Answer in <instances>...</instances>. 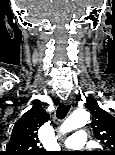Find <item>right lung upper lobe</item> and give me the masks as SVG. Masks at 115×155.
<instances>
[{"label": "right lung upper lobe", "instance_id": "right-lung-upper-lobe-1", "mask_svg": "<svg viewBox=\"0 0 115 155\" xmlns=\"http://www.w3.org/2000/svg\"><path fill=\"white\" fill-rule=\"evenodd\" d=\"M48 120V113L36 102L15 123L3 155H46V151L40 148L38 129Z\"/></svg>", "mask_w": 115, "mask_h": 155}]
</instances>
